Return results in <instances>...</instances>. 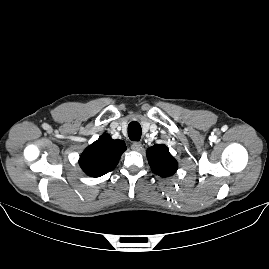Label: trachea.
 I'll use <instances>...</instances> for the list:
<instances>
[{
  "label": "trachea",
  "instance_id": "1",
  "mask_svg": "<svg viewBox=\"0 0 269 269\" xmlns=\"http://www.w3.org/2000/svg\"><path fill=\"white\" fill-rule=\"evenodd\" d=\"M141 126L138 122H130L128 125V136L132 141H139L141 138Z\"/></svg>",
  "mask_w": 269,
  "mask_h": 269
}]
</instances>
